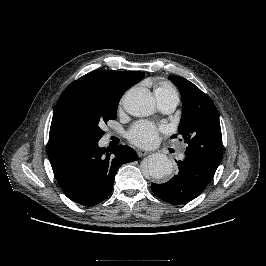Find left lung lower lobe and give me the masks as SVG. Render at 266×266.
Instances as JSON below:
<instances>
[{
  "instance_id": "left-lung-lower-lobe-1",
  "label": "left lung lower lobe",
  "mask_w": 266,
  "mask_h": 266,
  "mask_svg": "<svg viewBox=\"0 0 266 266\" xmlns=\"http://www.w3.org/2000/svg\"><path fill=\"white\" fill-rule=\"evenodd\" d=\"M178 173L168 182L152 184L151 189L161 200L171 204H184L203 192L216 169L190 157L177 162Z\"/></svg>"
}]
</instances>
